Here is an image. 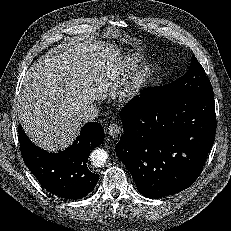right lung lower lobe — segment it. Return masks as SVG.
I'll use <instances>...</instances> for the list:
<instances>
[{
  "mask_svg": "<svg viewBox=\"0 0 231 231\" xmlns=\"http://www.w3.org/2000/svg\"><path fill=\"white\" fill-rule=\"evenodd\" d=\"M18 133L24 162L46 190L66 199H81L94 189L99 175L88 169L87 161L90 151L104 140L98 122L85 124L73 144L58 153L34 145L21 125Z\"/></svg>",
  "mask_w": 231,
  "mask_h": 231,
  "instance_id": "1",
  "label": "right lung lower lobe"
}]
</instances>
